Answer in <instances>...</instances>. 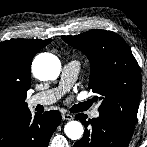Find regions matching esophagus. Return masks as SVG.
<instances>
[{
	"instance_id": "1",
	"label": "esophagus",
	"mask_w": 147,
	"mask_h": 147,
	"mask_svg": "<svg viewBox=\"0 0 147 147\" xmlns=\"http://www.w3.org/2000/svg\"><path fill=\"white\" fill-rule=\"evenodd\" d=\"M62 119L63 120H72L73 119V115L69 114V113H63L62 114Z\"/></svg>"
}]
</instances>
